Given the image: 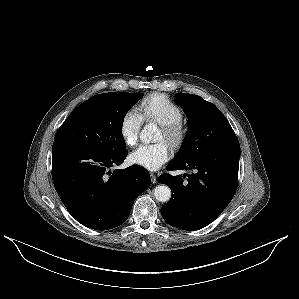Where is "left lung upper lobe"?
<instances>
[{"label": "left lung upper lobe", "mask_w": 299, "mask_h": 299, "mask_svg": "<svg viewBox=\"0 0 299 299\" xmlns=\"http://www.w3.org/2000/svg\"><path fill=\"white\" fill-rule=\"evenodd\" d=\"M175 101L188 117V131L172 161L197 158L214 147L237 139L223 113L197 95L176 93Z\"/></svg>", "instance_id": "1"}]
</instances>
